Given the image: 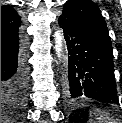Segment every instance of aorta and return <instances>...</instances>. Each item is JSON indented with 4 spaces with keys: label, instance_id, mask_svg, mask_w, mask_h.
Returning <instances> with one entry per match:
<instances>
[{
    "label": "aorta",
    "instance_id": "obj_1",
    "mask_svg": "<svg viewBox=\"0 0 122 123\" xmlns=\"http://www.w3.org/2000/svg\"><path fill=\"white\" fill-rule=\"evenodd\" d=\"M55 37V50L58 55V57H61V51H62V36L60 31H56L54 34Z\"/></svg>",
    "mask_w": 122,
    "mask_h": 123
}]
</instances>
